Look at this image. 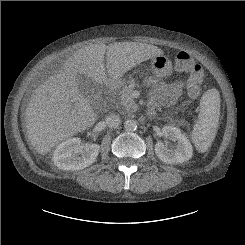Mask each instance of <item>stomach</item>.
<instances>
[{
	"mask_svg": "<svg viewBox=\"0 0 245 245\" xmlns=\"http://www.w3.org/2000/svg\"><path fill=\"white\" fill-rule=\"evenodd\" d=\"M151 69L155 75L159 77H166L171 73L172 64L165 55H158L151 60Z\"/></svg>",
	"mask_w": 245,
	"mask_h": 245,
	"instance_id": "obj_1",
	"label": "stomach"
}]
</instances>
